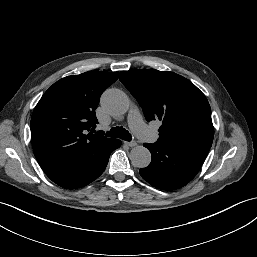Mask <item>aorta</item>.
<instances>
[{"label":"aorta","instance_id":"762f6f07","mask_svg":"<svg viewBox=\"0 0 257 257\" xmlns=\"http://www.w3.org/2000/svg\"><path fill=\"white\" fill-rule=\"evenodd\" d=\"M101 106L112 116H121L129 109L127 95L118 89L106 90L101 97ZM131 163L138 168H145L151 162L150 151L143 146H136L130 152Z\"/></svg>","mask_w":257,"mask_h":257}]
</instances>
